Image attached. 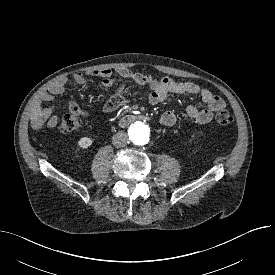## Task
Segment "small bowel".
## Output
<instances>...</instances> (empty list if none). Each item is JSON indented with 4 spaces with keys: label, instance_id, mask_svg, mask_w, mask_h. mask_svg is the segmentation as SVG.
<instances>
[{
    "label": "small bowel",
    "instance_id": "obj_1",
    "mask_svg": "<svg viewBox=\"0 0 275 275\" xmlns=\"http://www.w3.org/2000/svg\"><path fill=\"white\" fill-rule=\"evenodd\" d=\"M116 73L120 77L133 80L139 85L149 86L151 89L149 96V101L151 104L164 102L171 93L199 96L205 107L198 108L197 106L189 105L186 109L187 115L198 124L209 123L213 118L214 112L225 108V102L221 97L213 94L206 88H201L193 82H177L169 77L155 79L151 75L133 72L126 67L118 68ZM88 74L100 77L102 79L101 84L105 88L111 87L116 81L113 77L112 71L109 69L95 70ZM74 81L78 85H85L86 74L76 73L74 75ZM66 84V78H60L54 81L48 92L44 93L42 99L45 102H51L55 95L64 92ZM126 103L127 100L123 95L122 88H120L118 92L105 103L104 110L107 113H113L119 110ZM68 109L70 112H76L83 117L87 116V113L83 111L75 102H70ZM57 122L58 116L51 114L50 109H40L32 119V126L35 129L54 127ZM160 122L162 125L170 127L176 122V116L172 111H167L162 114Z\"/></svg>",
    "mask_w": 275,
    "mask_h": 275
}]
</instances>
